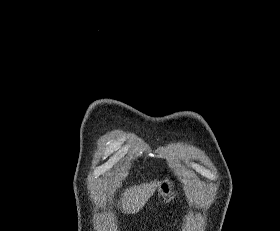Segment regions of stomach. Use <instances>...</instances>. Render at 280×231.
I'll use <instances>...</instances> for the list:
<instances>
[{"label": "stomach", "instance_id": "0dacf381", "mask_svg": "<svg viewBox=\"0 0 280 231\" xmlns=\"http://www.w3.org/2000/svg\"><path fill=\"white\" fill-rule=\"evenodd\" d=\"M158 193L159 195H163V197H170L174 193L172 179H169V177L162 179L158 185Z\"/></svg>", "mask_w": 280, "mask_h": 231}]
</instances>
